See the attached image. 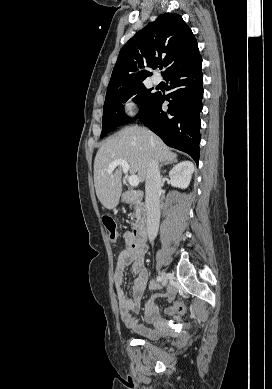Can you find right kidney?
Here are the masks:
<instances>
[{
  "label": "right kidney",
  "instance_id": "obj_1",
  "mask_svg": "<svg viewBox=\"0 0 272 389\" xmlns=\"http://www.w3.org/2000/svg\"><path fill=\"white\" fill-rule=\"evenodd\" d=\"M194 165L190 161H183L175 165L169 172L170 183L173 187L186 189L191 181Z\"/></svg>",
  "mask_w": 272,
  "mask_h": 389
}]
</instances>
